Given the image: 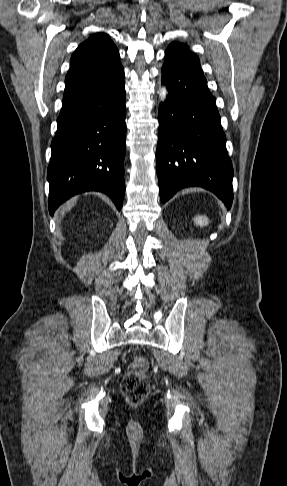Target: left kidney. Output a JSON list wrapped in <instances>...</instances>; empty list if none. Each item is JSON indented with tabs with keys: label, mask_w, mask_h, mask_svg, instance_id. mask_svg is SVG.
Listing matches in <instances>:
<instances>
[{
	"label": "left kidney",
	"mask_w": 287,
	"mask_h": 486,
	"mask_svg": "<svg viewBox=\"0 0 287 486\" xmlns=\"http://www.w3.org/2000/svg\"><path fill=\"white\" fill-rule=\"evenodd\" d=\"M194 223L196 226L203 227L209 224V219L205 215H198L194 217Z\"/></svg>",
	"instance_id": "obj_1"
}]
</instances>
